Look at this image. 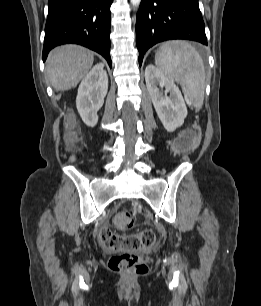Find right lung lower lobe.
<instances>
[{"label":"right lung lower lobe","instance_id":"1","mask_svg":"<svg viewBox=\"0 0 261 306\" xmlns=\"http://www.w3.org/2000/svg\"><path fill=\"white\" fill-rule=\"evenodd\" d=\"M113 0H49L43 60L57 45L80 44L101 54L111 67L110 6Z\"/></svg>","mask_w":261,"mask_h":306}]
</instances>
